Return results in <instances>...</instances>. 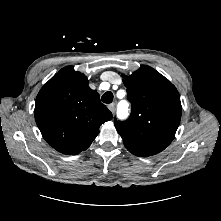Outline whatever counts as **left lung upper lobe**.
Segmentation results:
<instances>
[{
	"label": "left lung upper lobe",
	"instance_id": "obj_1",
	"mask_svg": "<svg viewBox=\"0 0 221 221\" xmlns=\"http://www.w3.org/2000/svg\"><path fill=\"white\" fill-rule=\"evenodd\" d=\"M131 115L115 127L128 151L150 156L164 150L174 139L181 119L180 96L175 86L150 66L123 75Z\"/></svg>",
	"mask_w": 221,
	"mask_h": 221
}]
</instances>
